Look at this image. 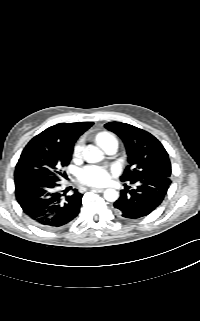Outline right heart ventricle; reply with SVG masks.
I'll list each match as a JSON object with an SVG mask.
<instances>
[{
  "label": "right heart ventricle",
  "instance_id": "e07e8e85",
  "mask_svg": "<svg viewBox=\"0 0 200 321\" xmlns=\"http://www.w3.org/2000/svg\"><path fill=\"white\" fill-rule=\"evenodd\" d=\"M107 139H108L107 136H105V135L101 136V140H102V141H106Z\"/></svg>",
  "mask_w": 200,
  "mask_h": 321
}]
</instances>
